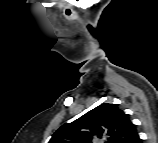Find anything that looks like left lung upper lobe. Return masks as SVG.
I'll return each mask as SVG.
<instances>
[{
  "label": "left lung upper lobe",
  "instance_id": "obj_1",
  "mask_svg": "<svg viewBox=\"0 0 158 143\" xmlns=\"http://www.w3.org/2000/svg\"><path fill=\"white\" fill-rule=\"evenodd\" d=\"M106 138L108 143H136L135 125L116 104L104 103L77 120L61 126L49 143H92Z\"/></svg>",
  "mask_w": 158,
  "mask_h": 143
}]
</instances>
